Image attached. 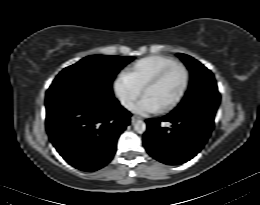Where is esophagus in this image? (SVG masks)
<instances>
[{"label":"esophagus","instance_id":"esophagus-1","mask_svg":"<svg viewBox=\"0 0 260 205\" xmlns=\"http://www.w3.org/2000/svg\"><path fill=\"white\" fill-rule=\"evenodd\" d=\"M138 119H140V117L134 115V116H132V118H131V122L134 123V122H136Z\"/></svg>","mask_w":260,"mask_h":205}]
</instances>
